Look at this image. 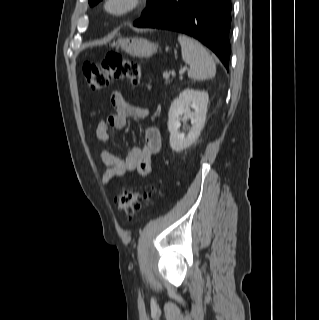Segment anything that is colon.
<instances>
[{
    "instance_id": "5ec220e1",
    "label": "colon",
    "mask_w": 319,
    "mask_h": 320,
    "mask_svg": "<svg viewBox=\"0 0 319 320\" xmlns=\"http://www.w3.org/2000/svg\"><path fill=\"white\" fill-rule=\"evenodd\" d=\"M87 84L92 90L108 87L113 79L127 81L134 86L140 84L141 69L137 62L124 58L116 51H109L101 62H87L83 66ZM156 195L155 188L136 190L122 189L115 197L119 210L127 220H133L141 207L152 202Z\"/></svg>"
}]
</instances>
